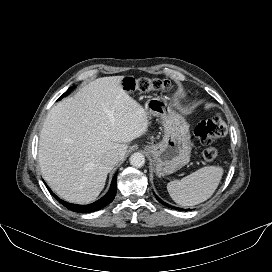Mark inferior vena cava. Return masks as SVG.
<instances>
[{
    "mask_svg": "<svg viewBox=\"0 0 272 272\" xmlns=\"http://www.w3.org/2000/svg\"><path fill=\"white\" fill-rule=\"evenodd\" d=\"M120 161V156L117 151H108L102 158V162L114 166Z\"/></svg>",
    "mask_w": 272,
    "mask_h": 272,
    "instance_id": "inferior-vena-cava-1",
    "label": "inferior vena cava"
}]
</instances>
